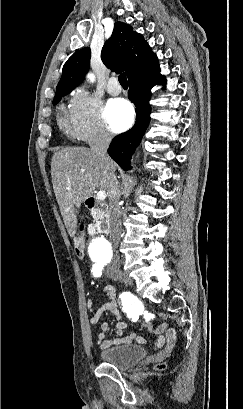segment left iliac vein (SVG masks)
I'll return each instance as SVG.
<instances>
[{
    "label": "left iliac vein",
    "mask_w": 243,
    "mask_h": 409,
    "mask_svg": "<svg viewBox=\"0 0 243 409\" xmlns=\"http://www.w3.org/2000/svg\"><path fill=\"white\" fill-rule=\"evenodd\" d=\"M111 278L114 280H118L115 276L111 275Z\"/></svg>",
    "instance_id": "obj_1"
}]
</instances>
